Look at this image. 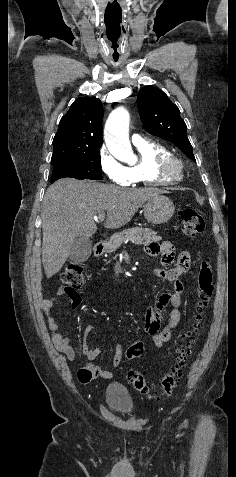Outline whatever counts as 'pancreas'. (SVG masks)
<instances>
[{
  "instance_id": "pancreas-1",
  "label": "pancreas",
  "mask_w": 236,
  "mask_h": 477,
  "mask_svg": "<svg viewBox=\"0 0 236 477\" xmlns=\"http://www.w3.org/2000/svg\"><path fill=\"white\" fill-rule=\"evenodd\" d=\"M161 239L162 238L160 236H157L156 232L148 228H129L114 234L106 244L105 250L110 254L115 252L123 243L126 242L142 245L158 242Z\"/></svg>"
}]
</instances>
